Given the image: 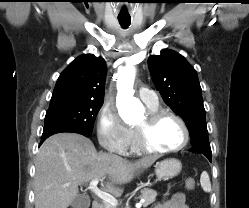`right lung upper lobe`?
Returning <instances> with one entry per match:
<instances>
[{
    "instance_id": "cb5924a9",
    "label": "right lung upper lobe",
    "mask_w": 249,
    "mask_h": 208,
    "mask_svg": "<svg viewBox=\"0 0 249 208\" xmlns=\"http://www.w3.org/2000/svg\"><path fill=\"white\" fill-rule=\"evenodd\" d=\"M106 63L102 57H77L59 76L50 106L68 102H103Z\"/></svg>"
}]
</instances>
